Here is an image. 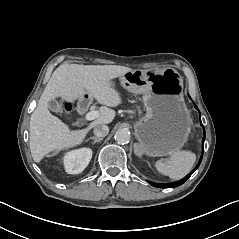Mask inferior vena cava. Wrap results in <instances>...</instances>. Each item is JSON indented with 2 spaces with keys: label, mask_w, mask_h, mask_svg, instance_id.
Instances as JSON below:
<instances>
[{
  "label": "inferior vena cava",
  "mask_w": 239,
  "mask_h": 239,
  "mask_svg": "<svg viewBox=\"0 0 239 239\" xmlns=\"http://www.w3.org/2000/svg\"><path fill=\"white\" fill-rule=\"evenodd\" d=\"M93 132L97 137H105L109 133V127L105 124H98L94 127Z\"/></svg>",
  "instance_id": "1"
}]
</instances>
